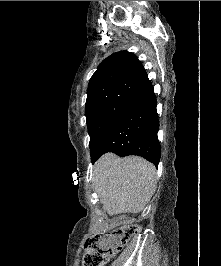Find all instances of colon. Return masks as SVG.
Listing matches in <instances>:
<instances>
[{"label": "colon", "mask_w": 221, "mask_h": 266, "mask_svg": "<svg viewBox=\"0 0 221 266\" xmlns=\"http://www.w3.org/2000/svg\"><path fill=\"white\" fill-rule=\"evenodd\" d=\"M138 231L136 225H126L87 240L82 258L84 266H104Z\"/></svg>", "instance_id": "1"}]
</instances>
